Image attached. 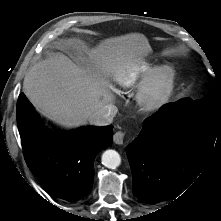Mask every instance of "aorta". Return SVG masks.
Returning a JSON list of instances; mask_svg holds the SVG:
<instances>
[{
    "label": "aorta",
    "mask_w": 221,
    "mask_h": 221,
    "mask_svg": "<svg viewBox=\"0 0 221 221\" xmlns=\"http://www.w3.org/2000/svg\"><path fill=\"white\" fill-rule=\"evenodd\" d=\"M121 163V157L115 150H106L102 154V164L110 169L117 168Z\"/></svg>",
    "instance_id": "aorta-1"
}]
</instances>
